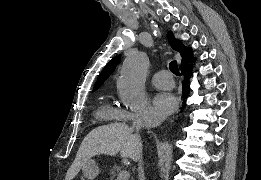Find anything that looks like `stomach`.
Returning <instances> with one entry per match:
<instances>
[{
    "label": "stomach",
    "mask_w": 261,
    "mask_h": 180,
    "mask_svg": "<svg viewBox=\"0 0 261 180\" xmlns=\"http://www.w3.org/2000/svg\"><path fill=\"white\" fill-rule=\"evenodd\" d=\"M83 175L89 180L95 179L99 174V168L94 160L89 159L82 167Z\"/></svg>",
    "instance_id": "stomach-1"
}]
</instances>
